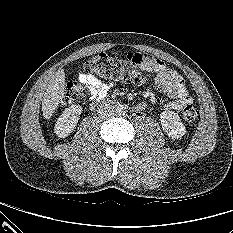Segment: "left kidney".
<instances>
[{"label": "left kidney", "instance_id": "left-kidney-1", "mask_svg": "<svg viewBox=\"0 0 233 233\" xmlns=\"http://www.w3.org/2000/svg\"><path fill=\"white\" fill-rule=\"evenodd\" d=\"M160 123L165 133L172 139H179L186 134V128L174 111H164L160 114Z\"/></svg>", "mask_w": 233, "mask_h": 233}]
</instances>
